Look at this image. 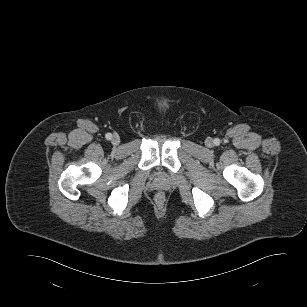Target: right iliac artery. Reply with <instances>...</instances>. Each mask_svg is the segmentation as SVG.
Wrapping results in <instances>:
<instances>
[{
	"label": "right iliac artery",
	"instance_id": "right-iliac-artery-1",
	"mask_svg": "<svg viewBox=\"0 0 307 307\" xmlns=\"http://www.w3.org/2000/svg\"><path fill=\"white\" fill-rule=\"evenodd\" d=\"M105 137H106L107 140H110L112 138V134L111 133H107L105 135Z\"/></svg>",
	"mask_w": 307,
	"mask_h": 307
}]
</instances>
